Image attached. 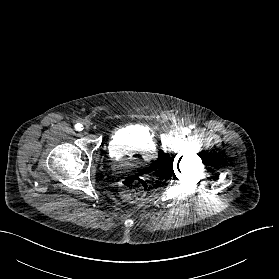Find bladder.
I'll list each match as a JSON object with an SVG mask.
<instances>
[{
    "instance_id": "bladder-1",
    "label": "bladder",
    "mask_w": 279,
    "mask_h": 279,
    "mask_svg": "<svg viewBox=\"0 0 279 279\" xmlns=\"http://www.w3.org/2000/svg\"><path fill=\"white\" fill-rule=\"evenodd\" d=\"M112 159L121 167H144L158 157L154 135L144 124H128L112 132L107 143Z\"/></svg>"
}]
</instances>
